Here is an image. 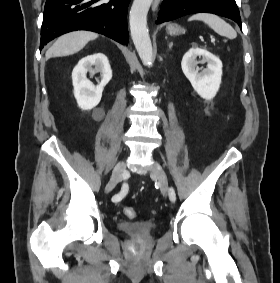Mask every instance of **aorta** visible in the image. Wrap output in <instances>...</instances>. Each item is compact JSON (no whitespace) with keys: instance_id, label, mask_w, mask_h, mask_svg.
I'll use <instances>...</instances> for the list:
<instances>
[{"instance_id":"obj_1","label":"aorta","mask_w":280,"mask_h":283,"mask_svg":"<svg viewBox=\"0 0 280 283\" xmlns=\"http://www.w3.org/2000/svg\"><path fill=\"white\" fill-rule=\"evenodd\" d=\"M153 0H134L130 10V32L140 59L146 66H152L153 50L147 28V14Z\"/></svg>"}]
</instances>
